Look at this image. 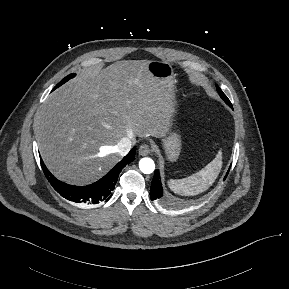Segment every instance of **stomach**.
<instances>
[{
    "instance_id": "obj_1",
    "label": "stomach",
    "mask_w": 289,
    "mask_h": 289,
    "mask_svg": "<svg viewBox=\"0 0 289 289\" xmlns=\"http://www.w3.org/2000/svg\"><path fill=\"white\" fill-rule=\"evenodd\" d=\"M148 71L150 74L162 83V85L173 95L174 70L172 65L166 61L151 60L148 61ZM174 105V104H173ZM163 145L168 160L176 161L181 150V140L178 134L171 133L163 139Z\"/></svg>"
}]
</instances>
